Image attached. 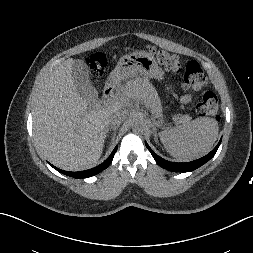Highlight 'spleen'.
<instances>
[{
	"mask_svg": "<svg viewBox=\"0 0 253 253\" xmlns=\"http://www.w3.org/2000/svg\"><path fill=\"white\" fill-rule=\"evenodd\" d=\"M219 132L213 118L200 117L159 133L167 152L179 161L187 162L207 154Z\"/></svg>",
	"mask_w": 253,
	"mask_h": 253,
	"instance_id": "1",
	"label": "spleen"
}]
</instances>
